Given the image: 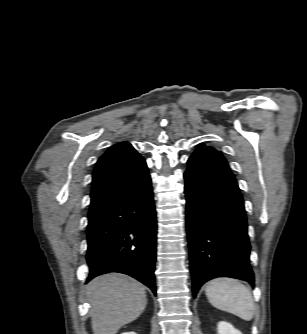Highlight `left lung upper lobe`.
<instances>
[{"instance_id":"left-lung-upper-lobe-1","label":"left lung upper lobe","mask_w":307,"mask_h":334,"mask_svg":"<svg viewBox=\"0 0 307 334\" xmlns=\"http://www.w3.org/2000/svg\"><path fill=\"white\" fill-rule=\"evenodd\" d=\"M188 163H201L211 167L230 170L229 165L222 153L212 147L205 146L204 144H200L197 147L189 158Z\"/></svg>"}]
</instances>
